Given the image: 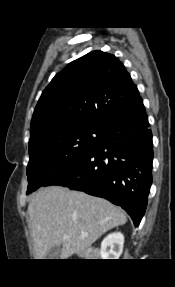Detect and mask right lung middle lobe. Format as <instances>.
<instances>
[{
  "label": "right lung middle lobe",
  "mask_w": 175,
  "mask_h": 287,
  "mask_svg": "<svg viewBox=\"0 0 175 287\" xmlns=\"http://www.w3.org/2000/svg\"><path fill=\"white\" fill-rule=\"evenodd\" d=\"M104 126L78 125L29 144L27 194L67 171L98 144Z\"/></svg>",
  "instance_id": "obj_1"
}]
</instances>
